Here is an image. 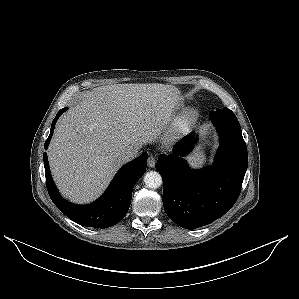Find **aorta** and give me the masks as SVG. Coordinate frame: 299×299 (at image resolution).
Segmentation results:
<instances>
[{
    "label": "aorta",
    "mask_w": 299,
    "mask_h": 299,
    "mask_svg": "<svg viewBox=\"0 0 299 299\" xmlns=\"http://www.w3.org/2000/svg\"><path fill=\"white\" fill-rule=\"evenodd\" d=\"M144 182L148 188L156 189L162 185V177L158 172L150 171L144 175Z\"/></svg>",
    "instance_id": "762f6f07"
}]
</instances>
